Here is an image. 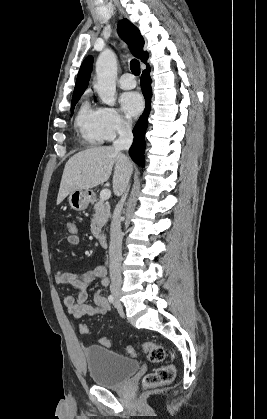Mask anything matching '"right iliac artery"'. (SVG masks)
I'll use <instances>...</instances> for the list:
<instances>
[{"mask_svg": "<svg viewBox=\"0 0 267 419\" xmlns=\"http://www.w3.org/2000/svg\"><path fill=\"white\" fill-rule=\"evenodd\" d=\"M108 300H109V302H110V303H113V302H114V297H113V295H109Z\"/></svg>", "mask_w": 267, "mask_h": 419, "instance_id": "82829eb1", "label": "right iliac artery"}]
</instances>
